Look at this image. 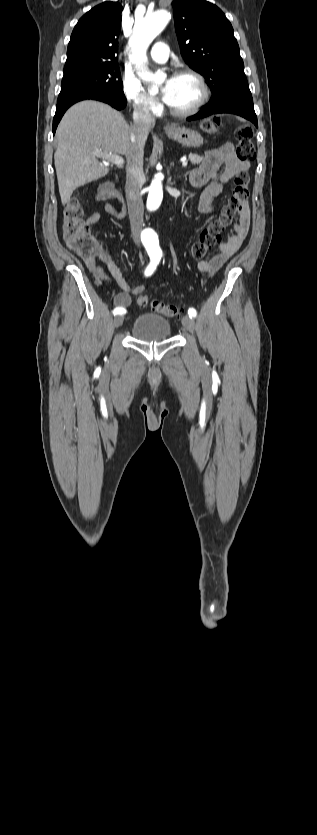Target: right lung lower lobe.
<instances>
[{"mask_svg": "<svg viewBox=\"0 0 317 835\" xmlns=\"http://www.w3.org/2000/svg\"><path fill=\"white\" fill-rule=\"evenodd\" d=\"M87 99L88 100L89 99L98 100V101L108 103L112 107H114L118 110H121V109L125 108V106L127 104V100H126L124 95H118V94H115V93H112V92H109V91L97 92V93H92V94H88V95H83V96H79V97L69 99L67 101H63L61 103H57L56 113H55V116H54V119H53V133L54 134H55V130L57 128V125L60 122L63 114L65 113V111L71 105H73L74 103H76L78 101H82V100H87Z\"/></svg>", "mask_w": 317, "mask_h": 835, "instance_id": "obj_1", "label": "right lung lower lobe"}]
</instances>
